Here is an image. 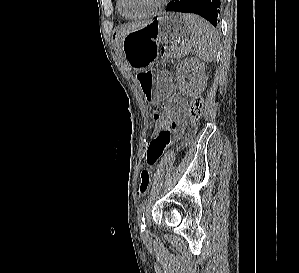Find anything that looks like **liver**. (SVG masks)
<instances>
[{"label":"liver","mask_w":299,"mask_h":273,"mask_svg":"<svg viewBox=\"0 0 299 273\" xmlns=\"http://www.w3.org/2000/svg\"><path fill=\"white\" fill-rule=\"evenodd\" d=\"M149 22L150 21L128 23V24L122 25L119 28L116 38H115V46H116L117 52L120 54L122 59H125L123 52H122V41H123L124 37L132 31L144 28L145 26H147L149 24Z\"/></svg>","instance_id":"obj_1"}]
</instances>
